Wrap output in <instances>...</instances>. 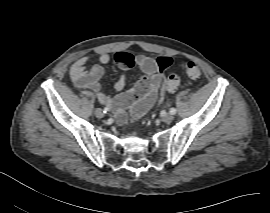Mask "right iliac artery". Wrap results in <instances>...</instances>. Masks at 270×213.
<instances>
[{
    "label": "right iliac artery",
    "mask_w": 270,
    "mask_h": 213,
    "mask_svg": "<svg viewBox=\"0 0 270 213\" xmlns=\"http://www.w3.org/2000/svg\"><path fill=\"white\" fill-rule=\"evenodd\" d=\"M109 111H110V109L108 107H105L103 112L108 113Z\"/></svg>",
    "instance_id": "right-iliac-artery-1"
}]
</instances>
